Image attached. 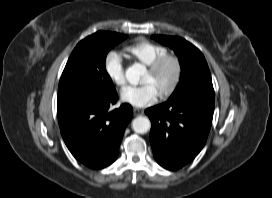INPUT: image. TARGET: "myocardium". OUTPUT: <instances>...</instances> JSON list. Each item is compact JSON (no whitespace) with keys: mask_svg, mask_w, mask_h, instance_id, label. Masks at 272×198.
Segmentation results:
<instances>
[{"mask_svg":"<svg viewBox=\"0 0 272 198\" xmlns=\"http://www.w3.org/2000/svg\"><path fill=\"white\" fill-rule=\"evenodd\" d=\"M167 64L173 65L174 76L170 85L159 94V97L161 99H166L170 97L178 88L182 77L181 61L177 56L167 53L165 55L158 57L148 65V71L154 75L157 74Z\"/></svg>","mask_w":272,"mask_h":198,"instance_id":"myocardium-1","label":"myocardium"}]
</instances>
